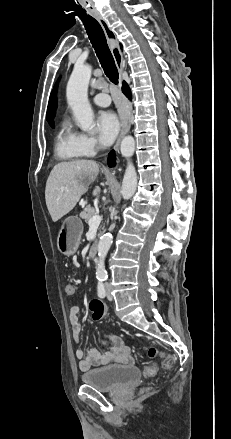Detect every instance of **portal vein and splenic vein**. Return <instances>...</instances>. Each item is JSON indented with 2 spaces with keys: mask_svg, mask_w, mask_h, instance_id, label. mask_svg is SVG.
I'll return each mask as SVG.
<instances>
[{
  "mask_svg": "<svg viewBox=\"0 0 231 439\" xmlns=\"http://www.w3.org/2000/svg\"><path fill=\"white\" fill-rule=\"evenodd\" d=\"M102 221V217L100 215H94L88 222L90 227H98Z\"/></svg>",
  "mask_w": 231,
  "mask_h": 439,
  "instance_id": "portal-vein-and-splenic-vein-1",
  "label": "portal vein and splenic vein"
}]
</instances>
